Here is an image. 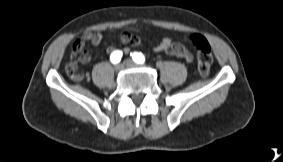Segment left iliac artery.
<instances>
[{"mask_svg": "<svg viewBox=\"0 0 283 162\" xmlns=\"http://www.w3.org/2000/svg\"><path fill=\"white\" fill-rule=\"evenodd\" d=\"M133 61H135L136 63H144L145 61V57L143 54L138 53V52H134L131 54Z\"/></svg>", "mask_w": 283, "mask_h": 162, "instance_id": "obj_1", "label": "left iliac artery"}]
</instances>
